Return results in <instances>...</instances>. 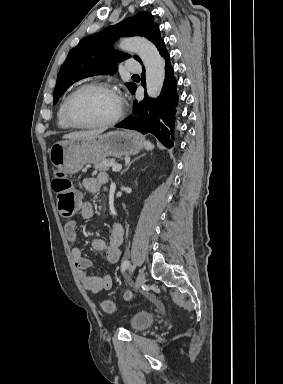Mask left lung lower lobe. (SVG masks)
I'll return each mask as SVG.
<instances>
[{
	"label": "left lung lower lobe",
	"instance_id": "0a47b994",
	"mask_svg": "<svg viewBox=\"0 0 283 384\" xmlns=\"http://www.w3.org/2000/svg\"><path fill=\"white\" fill-rule=\"evenodd\" d=\"M158 50L165 59V80L160 96L156 99H150L145 92V98L142 101L137 102L135 100L133 115H130L115 127L136 130L142 134L152 133L166 147L170 148L173 146L171 139H175L173 129L175 128L174 121L178 104L177 81L174 77V70L170 64V57L165 44L163 43ZM142 80H145L144 67Z\"/></svg>",
	"mask_w": 283,
	"mask_h": 384
}]
</instances>
